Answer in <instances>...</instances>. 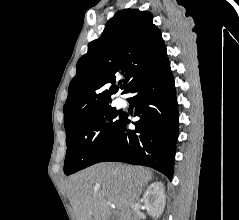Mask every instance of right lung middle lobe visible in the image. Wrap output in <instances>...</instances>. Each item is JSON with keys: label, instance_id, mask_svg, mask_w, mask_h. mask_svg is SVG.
Listing matches in <instances>:
<instances>
[{"label": "right lung middle lobe", "instance_id": "1", "mask_svg": "<svg viewBox=\"0 0 239 220\" xmlns=\"http://www.w3.org/2000/svg\"><path fill=\"white\" fill-rule=\"evenodd\" d=\"M124 114L110 105L80 117L66 130L64 173L73 174L93 165L113 140Z\"/></svg>", "mask_w": 239, "mask_h": 220}]
</instances>
